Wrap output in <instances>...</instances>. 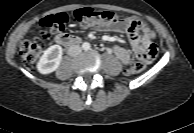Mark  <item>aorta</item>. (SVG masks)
Returning a JSON list of instances; mask_svg holds the SVG:
<instances>
[{
  "label": "aorta",
  "mask_w": 194,
  "mask_h": 133,
  "mask_svg": "<svg viewBox=\"0 0 194 133\" xmlns=\"http://www.w3.org/2000/svg\"><path fill=\"white\" fill-rule=\"evenodd\" d=\"M82 47H83L84 50H89L90 49V44L88 42H85V43H83Z\"/></svg>",
  "instance_id": "762f6f07"
}]
</instances>
